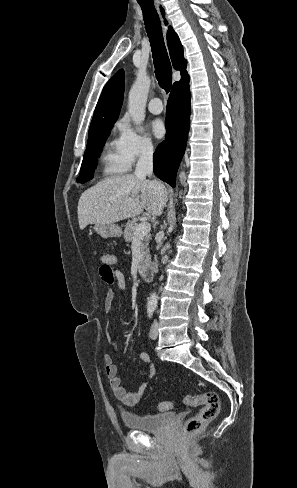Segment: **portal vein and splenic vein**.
<instances>
[{
  "label": "portal vein and splenic vein",
  "instance_id": "1",
  "mask_svg": "<svg viewBox=\"0 0 297 488\" xmlns=\"http://www.w3.org/2000/svg\"><path fill=\"white\" fill-rule=\"evenodd\" d=\"M150 229L151 225L148 222H141L137 224L135 229V239L146 235L148 232H150Z\"/></svg>",
  "mask_w": 297,
  "mask_h": 488
}]
</instances>
